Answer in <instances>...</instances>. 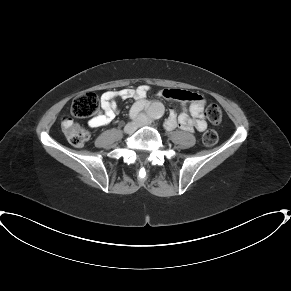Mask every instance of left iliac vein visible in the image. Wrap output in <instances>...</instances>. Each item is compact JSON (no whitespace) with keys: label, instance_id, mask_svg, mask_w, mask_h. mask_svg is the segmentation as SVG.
<instances>
[{"label":"left iliac vein","instance_id":"obj_1","mask_svg":"<svg viewBox=\"0 0 291 291\" xmlns=\"http://www.w3.org/2000/svg\"><path fill=\"white\" fill-rule=\"evenodd\" d=\"M138 122H139V126L140 127H142V126H148V125L151 124V120L148 117H146L145 115L139 116Z\"/></svg>","mask_w":291,"mask_h":291}]
</instances>
